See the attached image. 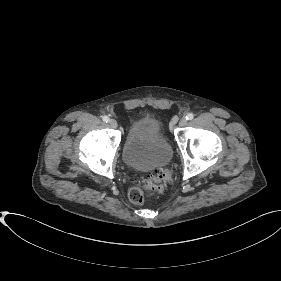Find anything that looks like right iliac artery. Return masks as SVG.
I'll return each instance as SVG.
<instances>
[{
	"mask_svg": "<svg viewBox=\"0 0 281 281\" xmlns=\"http://www.w3.org/2000/svg\"><path fill=\"white\" fill-rule=\"evenodd\" d=\"M109 120H110V119H109V117H108V116H103V121H104V122L108 123V122H109Z\"/></svg>",
	"mask_w": 281,
	"mask_h": 281,
	"instance_id": "1",
	"label": "right iliac artery"
}]
</instances>
